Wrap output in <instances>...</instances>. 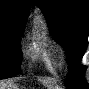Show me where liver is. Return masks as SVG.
I'll return each mask as SVG.
<instances>
[{"instance_id": "liver-1", "label": "liver", "mask_w": 89, "mask_h": 89, "mask_svg": "<svg viewBox=\"0 0 89 89\" xmlns=\"http://www.w3.org/2000/svg\"><path fill=\"white\" fill-rule=\"evenodd\" d=\"M5 87H7L6 89H16V88H13L14 86L10 84L6 85Z\"/></svg>"}]
</instances>
